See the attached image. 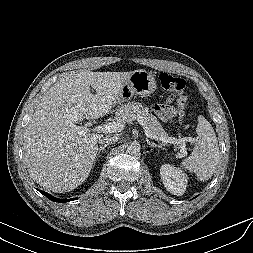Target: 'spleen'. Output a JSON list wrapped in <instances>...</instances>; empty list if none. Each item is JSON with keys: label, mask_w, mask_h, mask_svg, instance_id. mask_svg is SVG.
Wrapping results in <instances>:
<instances>
[{"label": "spleen", "mask_w": 253, "mask_h": 253, "mask_svg": "<svg viewBox=\"0 0 253 253\" xmlns=\"http://www.w3.org/2000/svg\"><path fill=\"white\" fill-rule=\"evenodd\" d=\"M198 141L189 157L181 162V166L196 174L200 181L208 180L219 163L218 141L211 124L199 116L196 128Z\"/></svg>", "instance_id": "obj_1"}]
</instances>
